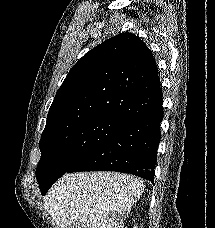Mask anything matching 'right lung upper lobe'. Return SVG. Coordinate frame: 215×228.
I'll list each match as a JSON object with an SVG mask.
<instances>
[{
	"label": "right lung upper lobe",
	"mask_w": 215,
	"mask_h": 228,
	"mask_svg": "<svg viewBox=\"0 0 215 228\" xmlns=\"http://www.w3.org/2000/svg\"><path fill=\"white\" fill-rule=\"evenodd\" d=\"M161 103L152 52L136 35L121 33L72 67L56 93L42 134L96 116L127 121Z\"/></svg>",
	"instance_id": "right-lung-upper-lobe-1"
}]
</instances>
